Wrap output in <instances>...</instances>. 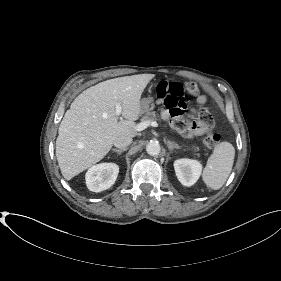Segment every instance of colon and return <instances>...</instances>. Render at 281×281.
<instances>
[{"label":"colon","mask_w":281,"mask_h":281,"mask_svg":"<svg viewBox=\"0 0 281 281\" xmlns=\"http://www.w3.org/2000/svg\"><path fill=\"white\" fill-rule=\"evenodd\" d=\"M157 97L162 100L172 118H179L184 114L190 97L198 93V86L193 81L185 83L175 81H161L156 88ZM199 122L205 131H211L214 122L210 114L202 110ZM220 143V135L214 132L208 133L204 138V144L209 148H215Z\"/></svg>","instance_id":"1"}]
</instances>
